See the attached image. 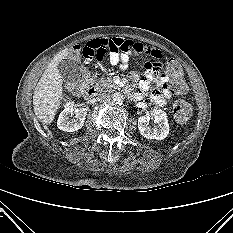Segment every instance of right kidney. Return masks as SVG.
Segmentation results:
<instances>
[{
    "label": "right kidney",
    "instance_id": "ca27d5eb",
    "mask_svg": "<svg viewBox=\"0 0 233 233\" xmlns=\"http://www.w3.org/2000/svg\"><path fill=\"white\" fill-rule=\"evenodd\" d=\"M73 120H70V116L74 115ZM87 110L85 108H78L73 106H67L60 113L57 126L60 130L66 132H74L81 129L84 125Z\"/></svg>",
    "mask_w": 233,
    "mask_h": 233
}]
</instances>
